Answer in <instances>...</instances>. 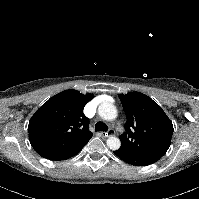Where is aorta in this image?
Instances as JSON below:
<instances>
[{
	"label": "aorta",
	"mask_w": 199,
	"mask_h": 199,
	"mask_svg": "<svg viewBox=\"0 0 199 199\" xmlns=\"http://www.w3.org/2000/svg\"><path fill=\"white\" fill-rule=\"evenodd\" d=\"M98 114L102 119L112 121L117 117V109L111 103H102L98 107ZM106 143L111 150H118L121 146L120 139L115 136L109 137Z\"/></svg>",
	"instance_id": "aorta-1"
}]
</instances>
